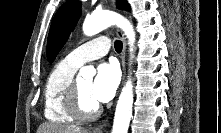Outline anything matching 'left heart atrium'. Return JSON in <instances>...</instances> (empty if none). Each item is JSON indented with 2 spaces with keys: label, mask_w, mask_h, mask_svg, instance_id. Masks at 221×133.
Returning a JSON list of instances; mask_svg holds the SVG:
<instances>
[{
  "label": "left heart atrium",
  "mask_w": 221,
  "mask_h": 133,
  "mask_svg": "<svg viewBox=\"0 0 221 133\" xmlns=\"http://www.w3.org/2000/svg\"><path fill=\"white\" fill-rule=\"evenodd\" d=\"M120 80V73L114 63H102L97 67L92 82L91 96L98 103H106L113 98Z\"/></svg>",
  "instance_id": "obj_1"
}]
</instances>
